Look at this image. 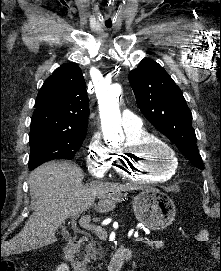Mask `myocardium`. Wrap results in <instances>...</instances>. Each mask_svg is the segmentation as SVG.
<instances>
[{"label": "myocardium", "instance_id": "obj_1", "mask_svg": "<svg viewBox=\"0 0 221 271\" xmlns=\"http://www.w3.org/2000/svg\"><path fill=\"white\" fill-rule=\"evenodd\" d=\"M165 138H151L148 145H129V150H138L133 153L131 158H127L125 165L134 164L136 167H121L125 172H132L134 175L138 172L140 175H171V169H177L178 165H174L175 157L172 156L174 150L171 145H165ZM172 175H177L175 172Z\"/></svg>", "mask_w": 221, "mask_h": 271}]
</instances>
